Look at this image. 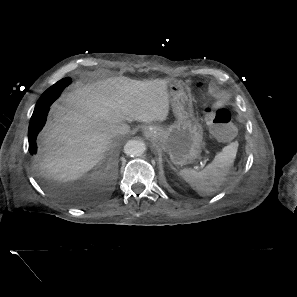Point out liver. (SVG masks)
Wrapping results in <instances>:
<instances>
[{"mask_svg": "<svg viewBox=\"0 0 297 297\" xmlns=\"http://www.w3.org/2000/svg\"><path fill=\"white\" fill-rule=\"evenodd\" d=\"M168 84L121 76L78 86L65 95L51 107L39 138L41 172L64 184L67 195L75 194L79 187L72 183L104 159L115 124L166 120Z\"/></svg>", "mask_w": 297, "mask_h": 297, "instance_id": "6515ba94", "label": "liver"}]
</instances>
